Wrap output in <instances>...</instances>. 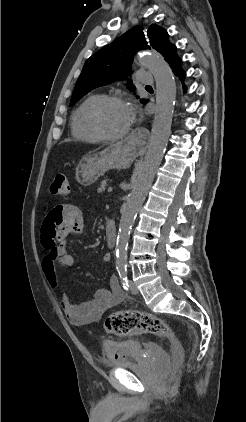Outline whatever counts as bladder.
<instances>
[{"label":"bladder","instance_id":"1","mask_svg":"<svg viewBox=\"0 0 246 422\" xmlns=\"http://www.w3.org/2000/svg\"><path fill=\"white\" fill-rule=\"evenodd\" d=\"M104 352L110 366L115 368H127L138 361L142 352V346L137 339L133 338L108 341L104 345ZM152 355L155 363L160 368H165L168 365L169 358L166 352L161 348H153Z\"/></svg>","mask_w":246,"mask_h":422}]
</instances>
